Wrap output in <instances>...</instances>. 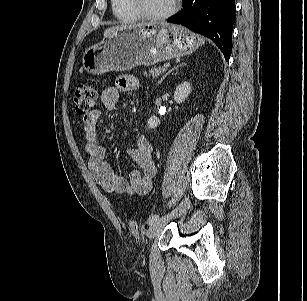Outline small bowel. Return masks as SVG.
Instances as JSON below:
<instances>
[{
  "instance_id": "small-bowel-1",
  "label": "small bowel",
  "mask_w": 307,
  "mask_h": 301,
  "mask_svg": "<svg viewBox=\"0 0 307 301\" xmlns=\"http://www.w3.org/2000/svg\"><path fill=\"white\" fill-rule=\"evenodd\" d=\"M138 79L132 75L120 76L115 86L107 87L101 94V102L107 110H113L119 101L120 92H131L139 88ZM101 116L99 109L92 110L83 117V129L86 138L88 168L93 179L109 193L147 194L152 187L156 174L153 160V145L145 137L137 138L136 146L128 150L131 159L138 165L129 173L128 178L118 175L106 161L107 150L100 143L97 124Z\"/></svg>"
}]
</instances>
